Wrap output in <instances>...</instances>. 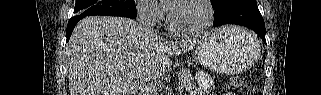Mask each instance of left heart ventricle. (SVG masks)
<instances>
[{"label":"left heart ventricle","mask_w":321,"mask_h":95,"mask_svg":"<svg viewBox=\"0 0 321 95\" xmlns=\"http://www.w3.org/2000/svg\"><path fill=\"white\" fill-rule=\"evenodd\" d=\"M175 28L180 30H196L203 26L206 20L204 6L196 1L179 3L170 11Z\"/></svg>","instance_id":"b2bd125f"}]
</instances>
